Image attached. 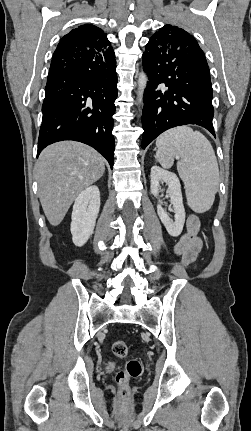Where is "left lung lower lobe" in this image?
<instances>
[{
    "mask_svg": "<svg viewBox=\"0 0 251 431\" xmlns=\"http://www.w3.org/2000/svg\"><path fill=\"white\" fill-rule=\"evenodd\" d=\"M142 60L149 79L142 109V149L180 125L196 124L215 135L209 67L196 40L151 37Z\"/></svg>",
    "mask_w": 251,
    "mask_h": 431,
    "instance_id": "1",
    "label": "left lung lower lobe"
}]
</instances>
